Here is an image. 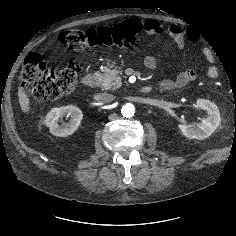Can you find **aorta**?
<instances>
[{"mask_svg":"<svg viewBox=\"0 0 236 236\" xmlns=\"http://www.w3.org/2000/svg\"><path fill=\"white\" fill-rule=\"evenodd\" d=\"M121 113L126 118L132 117L135 113V106L131 103H126L122 106Z\"/></svg>","mask_w":236,"mask_h":236,"instance_id":"1","label":"aorta"}]
</instances>
